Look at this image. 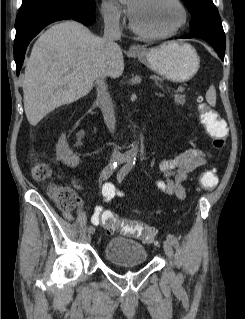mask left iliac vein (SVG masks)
<instances>
[{
	"label": "left iliac vein",
	"instance_id": "4c4485c4",
	"mask_svg": "<svg viewBox=\"0 0 245 319\" xmlns=\"http://www.w3.org/2000/svg\"><path fill=\"white\" fill-rule=\"evenodd\" d=\"M163 249H164V252H165L166 256L170 260V264L172 265L173 257H174V251H173V248H172L171 244L168 241H164ZM170 279L172 281L176 280V276H175V274H174V272L172 270L170 271Z\"/></svg>",
	"mask_w": 245,
	"mask_h": 319
}]
</instances>
